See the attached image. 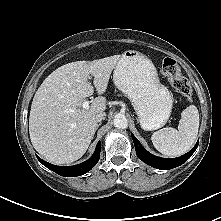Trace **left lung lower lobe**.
Segmentation results:
<instances>
[{
    "label": "left lung lower lobe",
    "instance_id": "left-lung-lower-lobe-1",
    "mask_svg": "<svg viewBox=\"0 0 221 221\" xmlns=\"http://www.w3.org/2000/svg\"><path fill=\"white\" fill-rule=\"evenodd\" d=\"M131 136L135 145V150L138 158L143 162H145L146 164L161 170H168L182 165L192 156V154L195 152V150L198 147V142H197V144L193 147L191 151H189L185 155H182L181 157L161 158L154 156L148 151H146L139 142V140L132 133Z\"/></svg>",
    "mask_w": 221,
    "mask_h": 221
}]
</instances>
